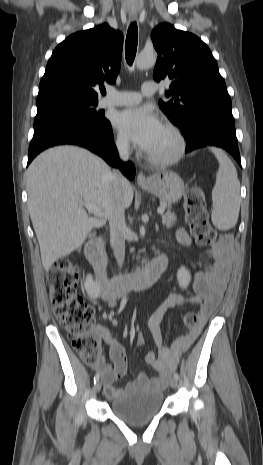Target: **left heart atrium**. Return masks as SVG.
Masks as SVG:
<instances>
[{
    "label": "left heart atrium",
    "instance_id": "left-heart-atrium-1",
    "mask_svg": "<svg viewBox=\"0 0 263 465\" xmlns=\"http://www.w3.org/2000/svg\"><path fill=\"white\" fill-rule=\"evenodd\" d=\"M115 126L121 134L149 152L164 126L157 115L147 107L130 108L120 112Z\"/></svg>",
    "mask_w": 263,
    "mask_h": 465
}]
</instances>
